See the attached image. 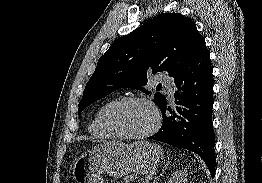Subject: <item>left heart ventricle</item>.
<instances>
[{
  "instance_id": "b2bd125f",
  "label": "left heart ventricle",
  "mask_w": 262,
  "mask_h": 183,
  "mask_svg": "<svg viewBox=\"0 0 262 183\" xmlns=\"http://www.w3.org/2000/svg\"><path fill=\"white\" fill-rule=\"evenodd\" d=\"M155 117L152 110L144 104H127L116 111L110 117L112 126L124 134H142L148 131L154 124Z\"/></svg>"
}]
</instances>
